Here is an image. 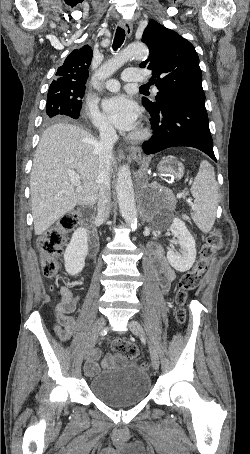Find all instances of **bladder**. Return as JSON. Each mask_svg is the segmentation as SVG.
<instances>
[{
    "mask_svg": "<svg viewBox=\"0 0 250 454\" xmlns=\"http://www.w3.org/2000/svg\"><path fill=\"white\" fill-rule=\"evenodd\" d=\"M117 369L104 371L91 378V393L107 406H128L142 402L151 391V378L137 364L127 363L123 356Z\"/></svg>",
    "mask_w": 250,
    "mask_h": 454,
    "instance_id": "obj_1",
    "label": "bladder"
}]
</instances>
